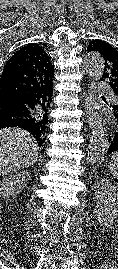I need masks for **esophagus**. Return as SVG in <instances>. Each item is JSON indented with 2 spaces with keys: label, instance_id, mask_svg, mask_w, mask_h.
Returning <instances> with one entry per match:
<instances>
[{
  "label": "esophagus",
  "instance_id": "obj_1",
  "mask_svg": "<svg viewBox=\"0 0 118 269\" xmlns=\"http://www.w3.org/2000/svg\"><path fill=\"white\" fill-rule=\"evenodd\" d=\"M92 105H93V87L89 86L88 93L86 94L85 97L84 107L86 111L87 122L90 127H92L95 123Z\"/></svg>",
  "mask_w": 118,
  "mask_h": 269
}]
</instances>
